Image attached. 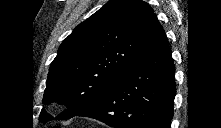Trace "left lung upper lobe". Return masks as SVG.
Masks as SVG:
<instances>
[{"label": "left lung upper lobe", "instance_id": "1", "mask_svg": "<svg viewBox=\"0 0 221 128\" xmlns=\"http://www.w3.org/2000/svg\"><path fill=\"white\" fill-rule=\"evenodd\" d=\"M164 30L141 0H111L80 23L50 66L43 103L66 104L55 119L72 118L102 99ZM53 119L41 111L42 122Z\"/></svg>", "mask_w": 221, "mask_h": 128}]
</instances>
